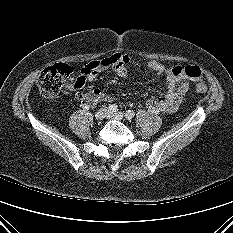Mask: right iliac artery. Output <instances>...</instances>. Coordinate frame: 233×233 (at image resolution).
Wrapping results in <instances>:
<instances>
[{"instance_id":"82829eb1","label":"right iliac artery","mask_w":233,"mask_h":233,"mask_svg":"<svg viewBox=\"0 0 233 233\" xmlns=\"http://www.w3.org/2000/svg\"><path fill=\"white\" fill-rule=\"evenodd\" d=\"M108 110H109V112H111V113H115V112L118 110V107H117V105H115V104H110V105L108 106Z\"/></svg>"}]
</instances>
